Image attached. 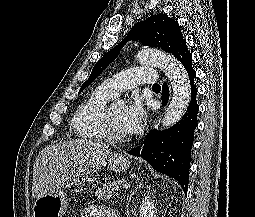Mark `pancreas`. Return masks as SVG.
Instances as JSON below:
<instances>
[{
	"mask_svg": "<svg viewBox=\"0 0 255 217\" xmlns=\"http://www.w3.org/2000/svg\"><path fill=\"white\" fill-rule=\"evenodd\" d=\"M121 184L120 180H115L112 182H108L107 184L103 185L102 188H99L95 196L102 201L109 199L118 189Z\"/></svg>",
	"mask_w": 255,
	"mask_h": 217,
	"instance_id": "pancreas-1",
	"label": "pancreas"
}]
</instances>
